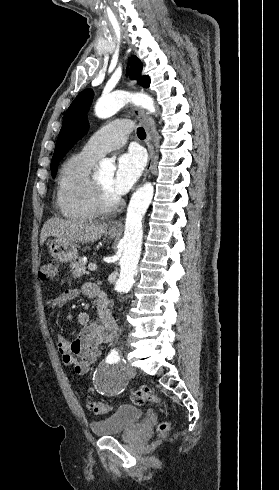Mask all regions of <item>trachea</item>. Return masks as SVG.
I'll return each mask as SVG.
<instances>
[{
	"mask_svg": "<svg viewBox=\"0 0 279 490\" xmlns=\"http://www.w3.org/2000/svg\"><path fill=\"white\" fill-rule=\"evenodd\" d=\"M137 135L141 140H144V138H146V133L142 127L137 128Z\"/></svg>",
	"mask_w": 279,
	"mask_h": 490,
	"instance_id": "1",
	"label": "trachea"
}]
</instances>
